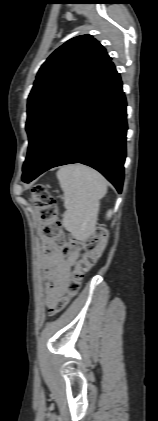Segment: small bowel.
I'll list each match as a JSON object with an SVG mask.
<instances>
[{
    "label": "small bowel",
    "mask_w": 158,
    "mask_h": 421,
    "mask_svg": "<svg viewBox=\"0 0 158 421\" xmlns=\"http://www.w3.org/2000/svg\"><path fill=\"white\" fill-rule=\"evenodd\" d=\"M79 254L76 249L72 256L65 259L58 246L51 240L44 241V277H45V301L48 307L54 308L58 301L66 293V284L71 276V270Z\"/></svg>",
    "instance_id": "1"
}]
</instances>
